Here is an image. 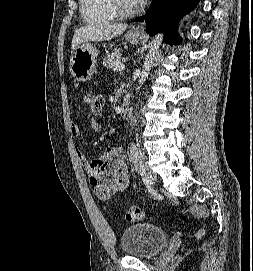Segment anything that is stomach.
<instances>
[{"label":"stomach","instance_id":"obj_1","mask_svg":"<svg viewBox=\"0 0 253 271\" xmlns=\"http://www.w3.org/2000/svg\"><path fill=\"white\" fill-rule=\"evenodd\" d=\"M126 39L133 44L142 40L140 34L132 31L125 35ZM97 49L90 43L79 45L70 58V72L77 81L85 82L89 80L95 72Z\"/></svg>","mask_w":253,"mask_h":271}]
</instances>
